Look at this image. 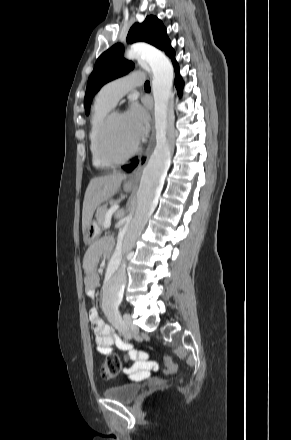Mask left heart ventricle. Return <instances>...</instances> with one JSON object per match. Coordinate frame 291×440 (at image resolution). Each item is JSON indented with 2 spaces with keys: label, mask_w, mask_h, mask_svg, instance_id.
I'll return each instance as SVG.
<instances>
[{
  "label": "left heart ventricle",
  "mask_w": 291,
  "mask_h": 440,
  "mask_svg": "<svg viewBox=\"0 0 291 440\" xmlns=\"http://www.w3.org/2000/svg\"><path fill=\"white\" fill-rule=\"evenodd\" d=\"M124 115L116 116L108 130L107 142L110 150L118 155L127 153L137 142Z\"/></svg>",
  "instance_id": "obj_1"
}]
</instances>
